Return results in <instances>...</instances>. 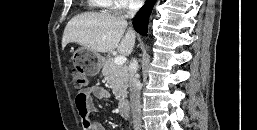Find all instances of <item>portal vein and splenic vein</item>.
<instances>
[{"label":"portal vein and splenic vein","instance_id":"portal-vein-and-splenic-vein-1","mask_svg":"<svg viewBox=\"0 0 257 130\" xmlns=\"http://www.w3.org/2000/svg\"><path fill=\"white\" fill-rule=\"evenodd\" d=\"M126 62V57L125 56H117L114 59V63L117 65H123Z\"/></svg>","mask_w":257,"mask_h":130}]
</instances>
